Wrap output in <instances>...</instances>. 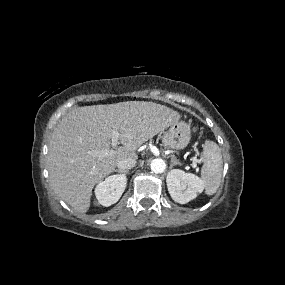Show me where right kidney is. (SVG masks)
I'll use <instances>...</instances> for the list:
<instances>
[{
	"label": "right kidney",
	"instance_id": "obj_1",
	"mask_svg": "<svg viewBox=\"0 0 285 285\" xmlns=\"http://www.w3.org/2000/svg\"><path fill=\"white\" fill-rule=\"evenodd\" d=\"M125 175H112L100 182L95 188V195L98 203L108 207L116 203L126 187Z\"/></svg>",
	"mask_w": 285,
	"mask_h": 285
}]
</instances>
